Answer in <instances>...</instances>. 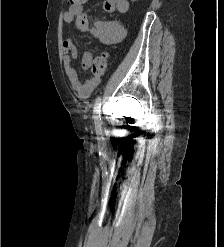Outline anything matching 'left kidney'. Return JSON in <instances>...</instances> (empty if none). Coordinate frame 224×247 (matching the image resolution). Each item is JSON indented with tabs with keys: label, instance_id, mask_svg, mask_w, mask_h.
<instances>
[{
	"label": "left kidney",
	"instance_id": "left-kidney-1",
	"mask_svg": "<svg viewBox=\"0 0 224 247\" xmlns=\"http://www.w3.org/2000/svg\"><path fill=\"white\" fill-rule=\"evenodd\" d=\"M131 2H136V0H131Z\"/></svg>",
	"mask_w": 224,
	"mask_h": 247
}]
</instances>
